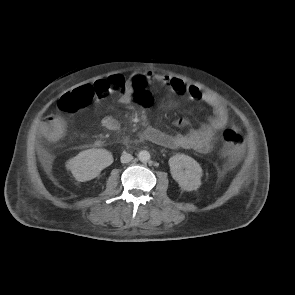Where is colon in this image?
<instances>
[{"label": "colon", "instance_id": "obj_1", "mask_svg": "<svg viewBox=\"0 0 295 295\" xmlns=\"http://www.w3.org/2000/svg\"><path fill=\"white\" fill-rule=\"evenodd\" d=\"M126 86L127 79L121 75H115L106 80H99L92 85L80 86L60 99V109L68 113L76 112L89 104L95 97L109 93L120 94L125 90ZM131 93L134 96V101L139 102L140 106H150L152 94L145 93L143 87H133ZM42 131L47 140L57 142L63 136L64 122L57 116L46 118L42 124ZM223 139V155L229 162H236L243 153V135L238 130L229 128L223 132Z\"/></svg>", "mask_w": 295, "mask_h": 295}]
</instances>
